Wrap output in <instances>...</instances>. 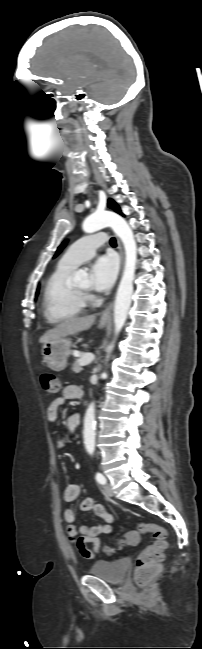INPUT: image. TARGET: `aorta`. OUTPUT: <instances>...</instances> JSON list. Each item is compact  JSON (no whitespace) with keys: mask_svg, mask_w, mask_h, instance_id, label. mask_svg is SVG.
<instances>
[{"mask_svg":"<svg viewBox=\"0 0 202 649\" xmlns=\"http://www.w3.org/2000/svg\"><path fill=\"white\" fill-rule=\"evenodd\" d=\"M105 227H111L121 239L125 250V266L114 302V333L119 335L125 325L131 305L133 281L137 263V245L134 234L126 220L114 212H95L86 218L82 228L86 233H94ZM86 272L79 270L75 273V280H80ZM113 343L107 348L106 362L110 358ZM104 371L102 377H106ZM84 444L87 452L92 454L95 450V404L92 402L87 408L83 427Z\"/></svg>","mask_w":202,"mask_h":649,"instance_id":"obj_1","label":"aorta"}]
</instances>
